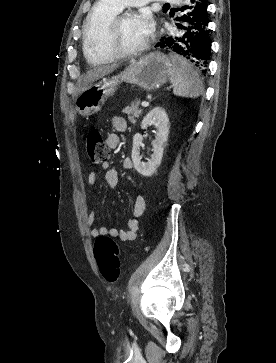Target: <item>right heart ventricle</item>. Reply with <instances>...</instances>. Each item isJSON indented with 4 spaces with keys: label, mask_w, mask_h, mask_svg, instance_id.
Segmentation results:
<instances>
[{
    "label": "right heart ventricle",
    "mask_w": 276,
    "mask_h": 363,
    "mask_svg": "<svg viewBox=\"0 0 276 363\" xmlns=\"http://www.w3.org/2000/svg\"><path fill=\"white\" fill-rule=\"evenodd\" d=\"M121 8L111 0H100L84 25L83 50L91 64H106L116 58L107 51L105 37L107 28Z\"/></svg>",
    "instance_id": "obj_1"
}]
</instances>
